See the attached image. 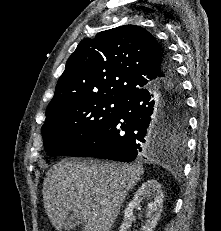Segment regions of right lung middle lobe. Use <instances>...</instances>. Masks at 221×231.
<instances>
[{"instance_id":"obj_1","label":"right lung middle lobe","mask_w":221,"mask_h":231,"mask_svg":"<svg viewBox=\"0 0 221 231\" xmlns=\"http://www.w3.org/2000/svg\"><path fill=\"white\" fill-rule=\"evenodd\" d=\"M124 102L125 99L114 96H91L64 105L46 117L42 126L45 151L56 156L74 149L100 130ZM161 119L172 142L182 148L188 126L185 103H168Z\"/></svg>"}]
</instances>
